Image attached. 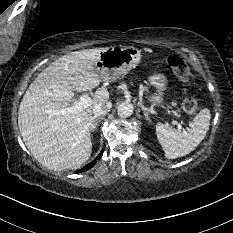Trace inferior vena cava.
Listing matches in <instances>:
<instances>
[{"mask_svg": "<svg viewBox=\"0 0 233 233\" xmlns=\"http://www.w3.org/2000/svg\"><path fill=\"white\" fill-rule=\"evenodd\" d=\"M112 108V103L109 100L100 102L93 107L94 117L107 114Z\"/></svg>", "mask_w": 233, "mask_h": 233, "instance_id": "602c4592", "label": "inferior vena cava"}]
</instances>
